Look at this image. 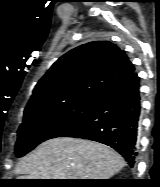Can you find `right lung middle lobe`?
Returning a JSON list of instances; mask_svg holds the SVG:
<instances>
[{"instance_id": "obj_1", "label": "right lung middle lobe", "mask_w": 160, "mask_h": 187, "mask_svg": "<svg viewBox=\"0 0 160 187\" xmlns=\"http://www.w3.org/2000/svg\"><path fill=\"white\" fill-rule=\"evenodd\" d=\"M98 101L99 99H75L25 111L23 123L18 130L16 156L22 157L41 142L60 137L73 129L93 112Z\"/></svg>"}]
</instances>
